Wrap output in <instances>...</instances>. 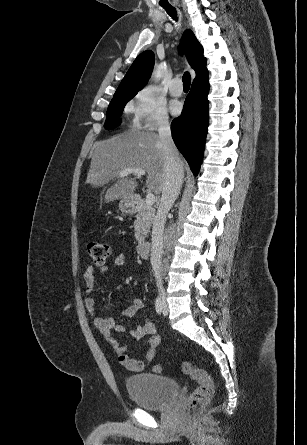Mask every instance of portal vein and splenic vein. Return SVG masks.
<instances>
[{
    "mask_svg": "<svg viewBox=\"0 0 307 445\" xmlns=\"http://www.w3.org/2000/svg\"><path fill=\"white\" fill-rule=\"evenodd\" d=\"M129 172H136V174H146V170H143V168H137V166H132V168H123V170H120L119 176H127ZM156 198L153 194V192H147L145 202L148 204V206H151V204H154Z\"/></svg>",
    "mask_w": 307,
    "mask_h": 445,
    "instance_id": "portal-vein-and-splenic-vein-1",
    "label": "portal vein and splenic vein"
}]
</instances>
